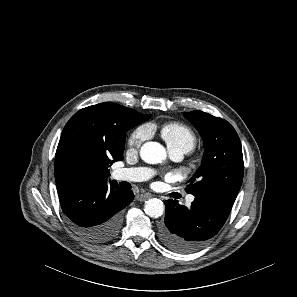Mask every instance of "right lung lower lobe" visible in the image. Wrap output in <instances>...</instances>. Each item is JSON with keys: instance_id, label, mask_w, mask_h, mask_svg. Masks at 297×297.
Listing matches in <instances>:
<instances>
[{"instance_id": "obj_1", "label": "right lung lower lobe", "mask_w": 297, "mask_h": 297, "mask_svg": "<svg viewBox=\"0 0 297 297\" xmlns=\"http://www.w3.org/2000/svg\"><path fill=\"white\" fill-rule=\"evenodd\" d=\"M63 212L85 239L104 243L114 239L121 228L122 209L134 199L130 189L115 181L81 177L58 190Z\"/></svg>"}]
</instances>
